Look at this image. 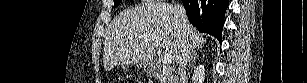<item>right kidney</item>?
I'll return each instance as SVG.
<instances>
[{"label": "right kidney", "instance_id": "right-kidney-1", "mask_svg": "<svg viewBox=\"0 0 307 83\" xmlns=\"http://www.w3.org/2000/svg\"><path fill=\"white\" fill-rule=\"evenodd\" d=\"M205 79V67L200 64L194 69V73L192 75L193 83H203Z\"/></svg>", "mask_w": 307, "mask_h": 83}]
</instances>
